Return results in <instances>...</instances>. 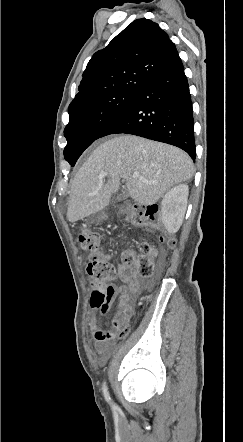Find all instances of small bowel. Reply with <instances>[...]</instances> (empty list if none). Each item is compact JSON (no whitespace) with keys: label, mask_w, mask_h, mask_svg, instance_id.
I'll list each match as a JSON object with an SVG mask.
<instances>
[{"label":"small bowel","mask_w":243,"mask_h":442,"mask_svg":"<svg viewBox=\"0 0 243 442\" xmlns=\"http://www.w3.org/2000/svg\"><path fill=\"white\" fill-rule=\"evenodd\" d=\"M117 275L124 282V285L119 287H113L114 296L119 295V307L122 310V315L126 316L128 313L133 312L134 302L139 294L144 282L139 278L132 267L119 265L117 268ZM110 304L103 305L101 308H95L92 306L89 321L90 329L95 338V349L97 351L100 360L105 359L109 354L110 342L104 339V330H102L98 324L97 312L105 313Z\"/></svg>","instance_id":"c3829d8e"}]
</instances>
